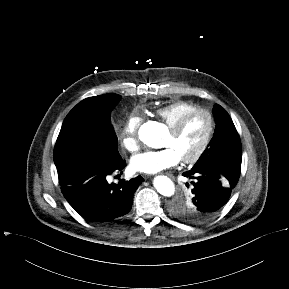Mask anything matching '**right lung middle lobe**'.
<instances>
[{"mask_svg": "<svg viewBox=\"0 0 289 289\" xmlns=\"http://www.w3.org/2000/svg\"><path fill=\"white\" fill-rule=\"evenodd\" d=\"M121 99L118 94L86 98L66 116L54 148L58 168L73 163H111L121 158L110 113Z\"/></svg>", "mask_w": 289, "mask_h": 289, "instance_id": "dd1d6c3e", "label": "right lung middle lobe"}]
</instances>
